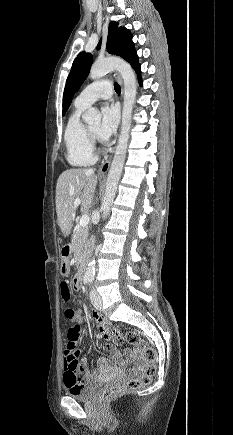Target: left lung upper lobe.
<instances>
[{"instance_id":"left-lung-upper-lobe-1","label":"left lung upper lobe","mask_w":233,"mask_h":435,"mask_svg":"<svg viewBox=\"0 0 233 435\" xmlns=\"http://www.w3.org/2000/svg\"><path fill=\"white\" fill-rule=\"evenodd\" d=\"M100 46L101 41L97 46L98 50ZM107 51L124 58L133 68L140 66L130 31L125 27L118 28V23L116 22L109 24ZM92 60V55L86 52H81L74 60L63 94V115L68 110L73 95L89 74Z\"/></svg>"}]
</instances>
